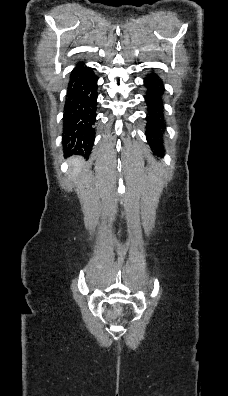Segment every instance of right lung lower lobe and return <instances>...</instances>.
Instances as JSON below:
<instances>
[{
	"label": "right lung lower lobe",
	"mask_w": 228,
	"mask_h": 396,
	"mask_svg": "<svg viewBox=\"0 0 228 396\" xmlns=\"http://www.w3.org/2000/svg\"><path fill=\"white\" fill-rule=\"evenodd\" d=\"M97 77L79 62L73 69L67 91L63 146L67 155L88 157L95 137Z\"/></svg>",
	"instance_id": "right-lung-lower-lobe-1"
}]
</instances>
